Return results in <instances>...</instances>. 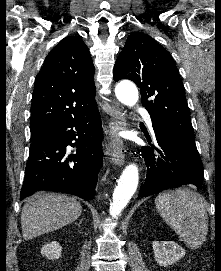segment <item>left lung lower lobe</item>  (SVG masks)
<instances>
[{
	"label": "left lung lower lobe",
	"instance_id": "1",
	"mask_svg": "<svg viewBox=\"0 0 221 271\" xmlns=\"http://www.w3.org/2000/svg\"><path fill=\"white\" fill-rule=\"evenodd\" d=\"M154 140L159 149L151 144V137L145 132L150 147H142L146 159L147 175L139 191V198L147 197L169 188L184 184H194L201 188L203 184V165L195 141H191L174 130L152 122ZM154 149L159 156L154 154Z\"/></svg>",
	"mask_w": 221,
	"mask_h": 271
}]
</instances>
